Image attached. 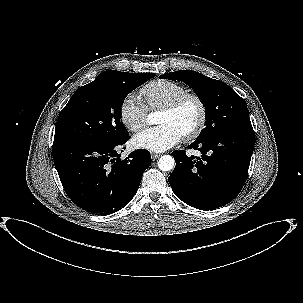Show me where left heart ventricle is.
<instances>
[{
	"instance_id": "1",
	"label": "left heart ventricle",
	"mask_w": 303,
	"mask_h": 303,
	"mask_svg": "<svg viewBox=\"0 0 303 303\" xmlns=\"http://www.w3.org/2000/svg\"><path fill=\"white\" fill-rule=\"evenodd\" d=\"M198 116L197 104L193 100H188L175 112H160L157 123L171 124L183 136V134L194 128L198 121Z\"/></svg>"
}]
</instances>
